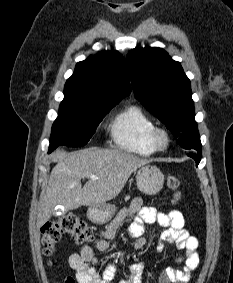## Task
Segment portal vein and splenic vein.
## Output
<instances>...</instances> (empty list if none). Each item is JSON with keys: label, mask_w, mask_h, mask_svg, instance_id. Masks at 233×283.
<instances>
[{"label": "portal vein and splenic vein", "mask_w": 233, "mask_h": 283, "mask_svg": "<svg viewBox=\"0 0 233 283\" xmlns=\"http://www.w3.org/2000/svg\"><path fill=\"white\" fill-rule=\"evenodd\" d=\"M90 178H91V179H98V177L95 176V175H90Z\"/></svg>", "instance_id": "1"}]
</instances>
